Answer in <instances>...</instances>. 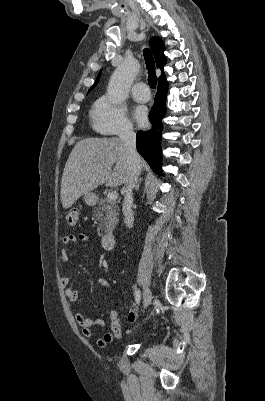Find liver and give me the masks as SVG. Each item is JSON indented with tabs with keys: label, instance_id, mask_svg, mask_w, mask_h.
Wrapping results in <instances>:
<instances>
[{
	"label": "liver",
	"instance_id": "obj_1",
	"mask_svg": "<svg viewBox=\"0 0 265 401\" xmlns=\"http://www.w3.org/2000/svg\"><path fill=\"white\" fill-rule=\"evenodd\" d=\"M129 176L130 164L121 138H83L72 148L65 164L61 180L63 209H70L79 196L100 184L118 186Z\"/></svg>",
	"mask_w": 265,
	"mask_h": 401
}]
</instances>
